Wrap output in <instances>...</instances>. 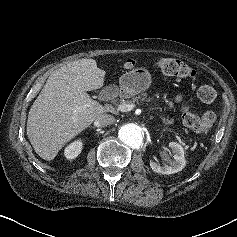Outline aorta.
<instances>
[{"label":"aorta","instance_id":"aorta-1","mask_svg":"<svg viewBox=\"0 0 237 237\" xmlns=\"http://www.w3.org/2000/svg\"><path fill=\"white\" fill-rule=\"evenodd\" d=\"M118 137L131 148H139L143 141L141 127L133 123L122 125L118 130Z\"/></svg>","mask_w":237,"mask_h":237}]
</instances>
